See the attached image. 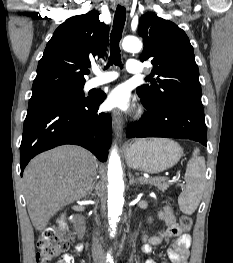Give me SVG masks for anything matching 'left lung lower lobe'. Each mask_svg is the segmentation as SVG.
<instances>
[{"label":"left lung lower lobe","mask_w":233,"mask_h":263,"mask_svg":"<svg viewBox=\"0 0 233 263\" xmlns=\"http://www.w3.org/2000/svg\"><path fill=\"white\" fill-rule=\"evenodd\" d=\"M143 104L148 112L139 121L129 124L126 130L128 138L191 139L207 145V127L202 102L176 100L156 110H150L144 102Z\"/></svg>","instance_id":"left-lung-lower-lobe-1"}]
</instances>
